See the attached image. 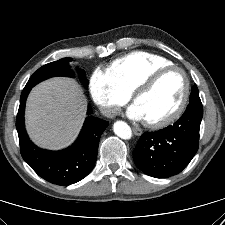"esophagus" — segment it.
<instances>
[{
  "label": "esophagus",
  "mask_w": 225,
  "mask_h": 225,
  "mask_svg": "<svg viewBox=\"0 0 225 225\" xmlns=\"http://www.w3.org/2000/svg\"><path fill=\"white\" fill-rule=\"evenodd\" d=\"M133 132L137 136H140L142 134V130L138 127H133Z\"/></svg>",
  "instance_id": "esophagus-1"
}]
</instances>
